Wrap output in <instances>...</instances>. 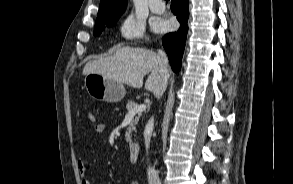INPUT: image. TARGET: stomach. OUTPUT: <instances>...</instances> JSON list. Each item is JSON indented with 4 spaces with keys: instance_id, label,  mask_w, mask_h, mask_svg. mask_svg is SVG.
<instances>
[{
    "instance_id": "stomach-1",
    "label": "stomach",
    "mask_w": 293,
    "mask_h": 184,
    "mask_svg": "<svg viewBox=\"0 0 293 184\" xmlns=\"http://www.w3.org/2000/svg\"><path fill=\"white\" fill-rule=\"evenodd\" d=\"M85 88L93 99L108 103L120 102L126 90L122 82L97 73H89L84 79Z\"/></svg>"
}]
</instances>
